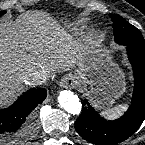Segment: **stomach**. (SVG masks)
<instances>
[{"instance_id":"obj_1","label":"stomach","mask_w":145,"mask_h":145,"mask_svg":"<svg viewBox=\"0 0 145 145\" xmlns=\"http://www.w3.org/2000/svg\"><path fill=\"white\" fill-rule=\"evenodd\" d=\"M101 51L91 48L81 53L74 79L90 85V93L100 104L111 105L124 91V83Z\"/></svg>"}]
</instances>
